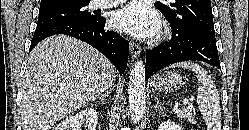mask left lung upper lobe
Masks as SVG:
<instances>
[{
    "instance_id": "1",
    "label": "left lung upper lobe",
    "mask_w": 249,
    "mask_h": 130,
    "mask_svg": "<svg viewBox=\"0 0 249 130\" xmlns=\"http://www.w3.org/2000/svg\"><path fill=\"white\" fill-rule=\"evenodd\" d=\"M167 21L180 32L200 30L215 34L210 0H175L155 3Z\"/></svg>"
}]
</instances>
